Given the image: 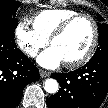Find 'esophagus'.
Returning a JSON list of instances; mask_svg holds the SVG:
<instances>
[{"mask_svg":"<svg viewBox=\"0 0 108 108\" xmlns=\"http://www.w3.org/2000/svg\"><path fill=\"white\" fill-rule=\"evenodd\" d=\"M49 75H50V72L40 69V76L42 78L48 77Z\"/></svg>","mask_w":108,"mask_h":108,"instance_id":"1","label":"esophagus"}]
</instances>
